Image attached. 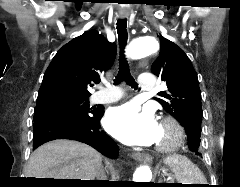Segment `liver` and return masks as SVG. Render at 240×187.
<instances>
[{
  "instance_id": "6515ba94",
  "label": "liver",
  "mask_w": 240,
  "mask_h": 187,
  "mask_svg": "<svg viewBox=\"0 0 240 187\" xmlns=\"http://www.w3.org/2000/svg\"><path fill=\"white\" fill-rule=\"evenodd\" d=\"M102 157L92 147L73 140H55L37 148L30 156L27 178L95 180Z\"/></svg>"
}]
</instances>
